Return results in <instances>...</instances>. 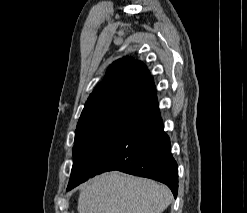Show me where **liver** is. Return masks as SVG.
<instances>
[{"mask_svg":"<svg viewBox=\"0 0 247 213\" xmlns=\"http://www.w3.org/2000/svg\"><path fill=\"white\" fill-rule=\"evenodd\" d=\"M169 188L119 172L99 175L79 194L78 213H162L171 203Z\"/></svg>","mask_w":247,"mask_h":213,"instance_id":"liver-1","label":"liver"}]
</instances>
